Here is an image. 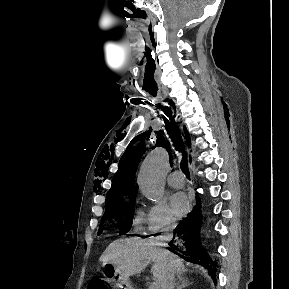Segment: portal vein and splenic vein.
<instances>
[{
  "instance_id": "18ae733b",
  "label": "portal vein and splenic vein",
  "mask_w": 289,
  "mask_h": 289,
  "mask_svg": "<svg viewBox=\"0 0 289 289\" xmlns=\"http://www.w3.org/2000/svg\"><path fill=\"white\" fill-rule=\"evenodd\" d=\"M149 289H159V286H158L157 282H153L151 284V286L149 287Z\"/></svg>"
}]
</instances>
